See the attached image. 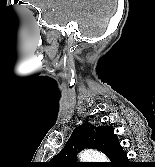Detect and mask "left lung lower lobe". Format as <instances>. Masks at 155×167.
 Here are the masks:
<instances>
[{
  "instance_id": "obj_1",
  "label": "left lung lower lobe",
  "mask_w": 155,
  "mask_h": 167,
  "mask_svg": "<svg viewBox=\"0 0 155 167\" xmlns=\"http://www.w3.org/2000/svg\"><path fill=\"white\" fill-rule=\"evenodd\" d=\"M110 160L111 162L108 164V167H124V164H128L127 155L120 144L114 149Z\"/></svg>"
}]
</instances>
